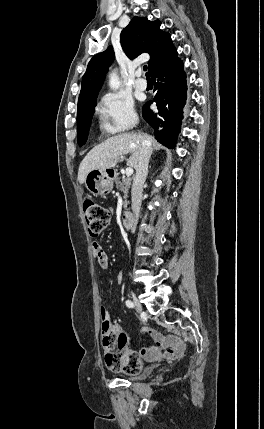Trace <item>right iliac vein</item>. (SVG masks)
Returning a JSON list of instances; mask_svg holds the SVG:
<instances>
[{
    "mask_svg": "<svg viewBox=\"0 0 264 429\" xmlns=\"http://www.w3.org/2000/svg\"><path fill=\"white\" fill-rule=\"evenodd\" d=\"M131 296H132L133 303L135 305V309L137 310V313L141 314L142 313L141 303L139 302V300L137 299V297L135 296V294L133 292H131Z\"/></svg>",
    "mask_w": 264,
    "mask_h": 429,
    "instance_id": "63e3f726",
    "label": "right iliac vein"
}]
</instances>
